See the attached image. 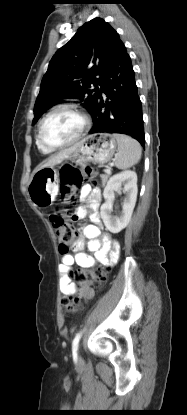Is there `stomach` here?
<instances>
[{"label":"stomach","mask_w":187,"mask_h":415,"mask_svg":"<svg viewBox=\"0 0 187 415\" xmlns=\"http://www.w3.org/2000/svg\"><path fill=\"white\" fill-rule=\"evenodd\" d=\"M117 151V141L110 133H97L84 138L68 160L77 165L87 162L105 164ZM28 195L32 203L43 208L55 200L58 193V170L55 166L34 172L28 184Z\"/></svg>","instance_id":"obj_1"}]
</instances>
